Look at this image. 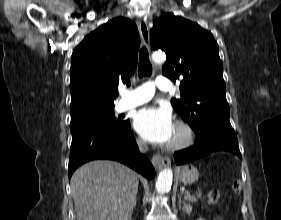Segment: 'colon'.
Here are the masks:
<instances>
[{"mask_svg": "<svg viewBox=\"0 0 281 220\" xmlns=\"http://www.w3.org/2000/svg\"><path fill=\"white\" fill-rule=\"evenodd\" d=\"M233 192L235 194H240L241 192V185L238 181L233 183ZM220 193L218 189H211L208 191L204 196V202L207 204H215L219 201Z\"/></svg>", "mask_w": 281, "mask_h": 220, "instance_id": "obj_1", "label": "colon"}]
</instances>
